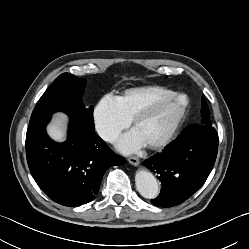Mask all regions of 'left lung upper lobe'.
Returning a JSON list of instances; mask_svg holds the SVG:
<instances>
[{
    "label": "left lung upper lobe",
    "instance_id": "obj_1",
    "mask_svg": "<svg viewBox=\"0 0 249 249\" xmlns=\"http://www.w3.org/2000/svg\"><path fill=\"white\" fill-rule=\"evenodd\" d=\"M201 115H202V120H201L202 124H212L211 120L209 119L210 117L209 108L204 97H202Z\"/></svg>",
    "mask_w": 249,
    "mask_h": 249
}]
</instances>
